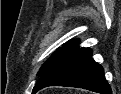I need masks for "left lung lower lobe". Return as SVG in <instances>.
Returning a JSON list of instances; mask_svg holds the SVG:
<instances>
[{
  "label": "left lung lower lobe",
  "mask_w": 121,
  "mask_h": 94,
  "mask_svg": "<svg viewBox=\"0 0 121 94\" xmlns=\"http://www.w3.org/2000/svg\"><path fill=\"white\" fill-rule=\"evenodd\" d=\"M48 86L87 89L101 94H112L103 68L92 58L89 48H79L46 71L34 86L32 94Z\"/></svg>",
  "instance_id": "left-lung-lower-lobe-1"
}]
</instances>
